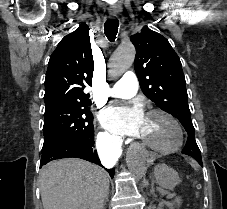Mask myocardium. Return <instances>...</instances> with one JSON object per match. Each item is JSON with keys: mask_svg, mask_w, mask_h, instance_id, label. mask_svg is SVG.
I'll return each mask as SVG.
<instances>
[{"mask_svg": "<svg viewBox=\"0 0 227 209\" xmlns=\"http://www.w3.org/2000/svg\"><path fill=\"white\" fill-rule=\"evenodd\" d=\"M150 115H160L167 119L175 128L176 133H177V139L174 142L173 145L169 147H159L156 145H153L149 143L148 141L140 138L139 136H136V138L139 140L140 144L143 145L144 147L148 148L151 151H154L156 153H161V154H167V153H172L178 151L181 146L183 145L184 141V131L183 128L180 124V122L175 118L171 113H169L166 110L163 109H152L148 111L147 116Z\"/></svg>", "mask_w": 227, "mask_h": 209, "instance_id": "myocardium-1", "label": "myocardium"}]
</instances>
